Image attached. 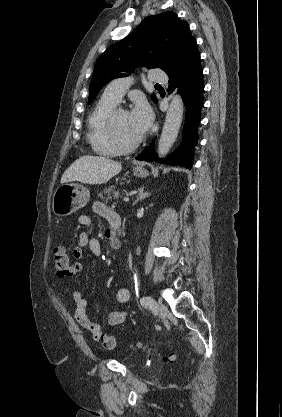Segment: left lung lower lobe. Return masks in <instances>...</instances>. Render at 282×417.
Listing matches in <instances>:
<instances>
[{
  "instance_id": "obj_1",
  "label": "left lung lower lobe",
  "mask_w": 282,
  "mask_h": 417,
  "mask_svg": "<svg viewBox=\"0 0 282 417\" xmlns=\"http://www.w3.org/2000/svg\"><path fill=\"white\" fill-rule=\"evenodd\" d=\"M166 73L169 76L168 91L171 93L175 88H178V92L182 95L186 107L182 143L172 155L162 160L155 155L154 142H152L136 157V159L181 165L191 169L194 147L198 139L197 129L200 122V111L203 105L204 90L200 54L195 39L190 41L188 45L177 54Z\"/></svg>"
}]
</instances>
